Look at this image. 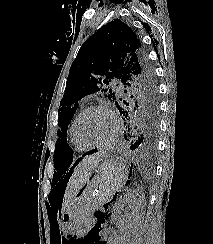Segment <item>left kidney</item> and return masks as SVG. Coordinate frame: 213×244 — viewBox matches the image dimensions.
Listing matches in <instances>:
<instances>
[{
	"label": "left kidney",
	"mask_w": 213,
	"mask_h": 244,
	"mask_svg": "<svg viewBox=\"0 0 213 244\" xmlns=\"http://www.w3.org/2000/svg\"><path fill=\"white\" fill-rule=\"evenodd\" d=\"M143 203L144 196L141 192L129 190L114 204L111 217L123 229L116 244H133V236L139 226L140 209Z\"/></svg>",
	"instance_id": "left-kidney-1"
}]
</instances>
